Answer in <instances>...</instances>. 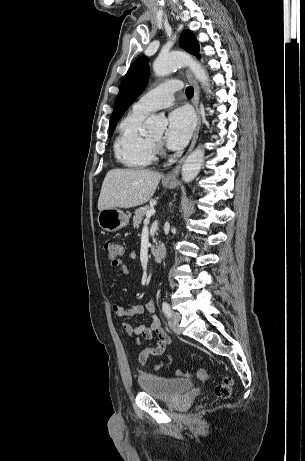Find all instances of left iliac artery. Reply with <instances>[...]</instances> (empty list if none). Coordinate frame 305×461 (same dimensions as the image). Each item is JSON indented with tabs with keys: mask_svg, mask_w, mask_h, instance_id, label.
Here are the masks:
<instances>
[{
	"mask_svg": "<svg viewBox=\"0 0 305 461\" xmlns=\"http://www.w3.org/2000/svg\"><path fill=\"white\" fill-rule=\"evenodd\" d=\"M162 310H163V313L165 314V316L167 318L171 317L172 311H171V308H170V306H169V304L167 302L162 303Z\"/></svg>",
	"mask_w": 305,
	"mask_h": 461,
	"instance_id": "44dca946",
	"label": "left iliac artery"
}]
</instances>
